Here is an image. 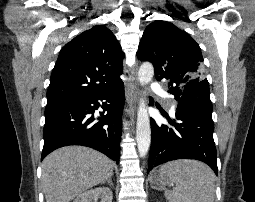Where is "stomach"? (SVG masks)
Returning a JSON list of instances; mask_svg holds the SVG:
<instances>
[{
	"instance_id": "stomach-1",
	"label": "stomach",
	"mask_w": 255,
	"mask_h": 202,
	"mask_svg": "<svg viewBox=\"0 0 255 202\" xmlns=\"http://www.w3.org/2000/svg\"><path fill=\"white\" fill-rule=\"evenodd\" d=\"M150 184L153 189L165 190L168 185L167 180L159 171H155L150 175Z\"/></svg>"
}]
</instances>
